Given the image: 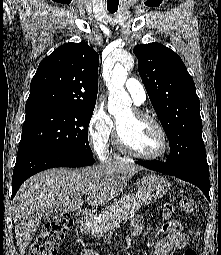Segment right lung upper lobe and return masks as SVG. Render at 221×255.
Listing matches in <instances>:
<instances>
[{"mask_svg": "<svg viewBox=\"0 0 221 255\" xmlns=\"http://www.w3.org/2000/svg\"><path fill=\"white\" fill-rule=\"evenodd\" d=\"M99 55L86 43H66L39 64L25 111L92 106L98 92Z\"/></svg>", "mask_w": 221, "mask_h": 255, "instance_id": "1", "label": "right lung upper lobe"}]
</instances>
